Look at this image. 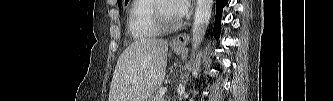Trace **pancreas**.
Segmentation results:
<instances>
[{
	"mask_svg": "<svg viewBox=\"0 0 333 101\" xmlns=\"http://www.w3.org/2000/svg\"><path fill=\"white\" fill-rule=\"evenodd\" d=\"M161 89H158V91L156 92V95L154 97V101H163V95L161 94Z\"/></svg>",
	"mask_w": 333,
	"mask_h": 101,
	"instance_id": "pancreas-1",
	"label": "pancreas"
}]
</instances>
